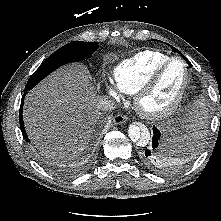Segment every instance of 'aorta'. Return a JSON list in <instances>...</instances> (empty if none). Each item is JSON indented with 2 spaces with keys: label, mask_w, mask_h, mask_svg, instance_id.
<instances>
[{
  "label": "aorta",
  "mask_w": 221,
  "mask_h": 221,
  "mask_svg": "<svg viewBox=\"0 0 221 221\" xmlns=\"http://www.w3.org/2000/svg\"><path fill=\"white\" fill-rule=\"evenodd\" d=\"M128 135L132 142L144 147L150 141V132L147 127L132 124L128 128Z\"/></svg>",
  "instance_id": "obj_1"
}]
</instances>
